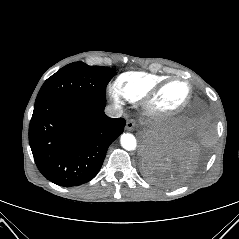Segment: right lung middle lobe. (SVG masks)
<instances>
[{
    "mask_svg": "<svg viewBox=\"0 0 239 239\" xmlns=\"http://www.w3.org/2000/svg\"><path fill=\"white\" fill-rule=\"evenodd\" d=\"M115 71L83 62L68 64L44 82L35 103L61 97L106 101V86Z\"/></svg>",
    "mask_w": 239,
    "mask_h": 239,
    "instance_id": "1",
    "label": "right lung middle lobe"
}]
</instances>
